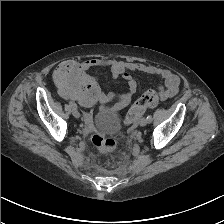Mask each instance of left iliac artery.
Here are the masks:
<instances>
[{"instance_id": "44dca946", "label": "left iliac artery", "mask_w": 224, "mask_h": 224, "mask_svg": "<svg viewBox=\"0 0 224 224\" xmlns=\"http://www.w3.org/2000/svg\"><path fill=\"white\" fill-rule=\"evenodd\" d=\"M147 119H148V123H151L152 122V116L151 115H148L147 116Z\"/></svg>"}]
</instances>
